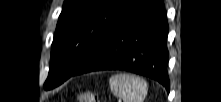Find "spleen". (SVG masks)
Here are the masks:
<instances>
[{
  "mask_svg": "<svg viewBox=\"0 0 221 102\" xmlns=\"http://www.w3.org/2000/svg\"><path fill=\"white\" fill-rule=\"evenodd\" d=\"M110 89L123 102H143L147 95V83L131 74L120 73L109 80Z\"/></svg>",
  "mask_w": 221,
  "mask_h": 102,
  "instance_id": "obj_1",
  "label": "spleen"
}]
</instances>
